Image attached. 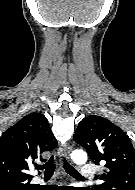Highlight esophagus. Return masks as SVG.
I'll use <instances>...</instances> for the list:
<instances>
[{
  "label": "esophagus",
  "instance_id": "obj_1",
  "mask_svg": "<svg viewBox=\"0 0 135 190\" xmlns=\"http://www.w3.org/2000/svg\"><path fill=\"white\" fill-rule=\"evenodd\" d=\"M71 150L72 147L70 145H66L64 152L59 154L58 161L61 166L63 164V158H65L66 160H70Z\"/></svg>",
  "mask_w": 135,
  "mask_h": 190
}]
</instances>
